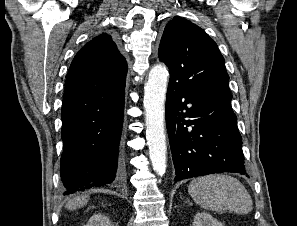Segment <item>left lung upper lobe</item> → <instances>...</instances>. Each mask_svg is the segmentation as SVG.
<instances>
[{"instance_id":"left-lung-upper-lobe-1","label":"left lung upper lobe","mask_w":297,"mask_h":226,"mask_svg":"<svg viewBox=\"0 0 297 226\" xmlns=\"http://www.w3.org/2000/svg\"><path fill=\"white\" fill-rule=\"evenodd\" d=\"M159 58L176 82L195 90L231 94L225 60L217 44L192 22L175 17L166 25Z\"/></svg>"}]
</instances>
